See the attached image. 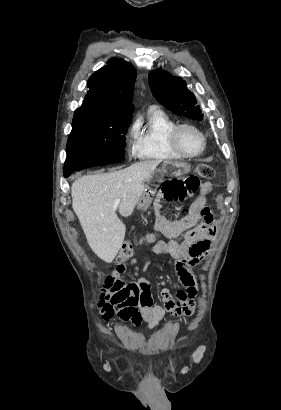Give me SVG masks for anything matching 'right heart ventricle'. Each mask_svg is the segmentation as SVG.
Here are the masks:
<instances>
[{
	"instance_id": "e07e8e85",
	"label": "right heart ventricle",
	"mask_w": 281,
	"mask_h": 410,
	"mask_svg": "<svg viewBox=\"0 0 281 410\" xmlns=\"http://www.w3.org/2000/svg\"><path fill=\"white\" fill-rule=\"evenodd\" d=\"M178 123L165 111L151 107L146 118L138 122L135 154L142 160H171L183 158L170 143V133Z\"/></svg>"
}]
</instances>
